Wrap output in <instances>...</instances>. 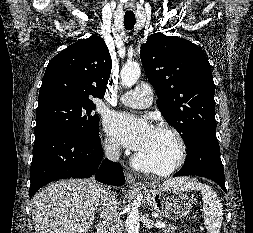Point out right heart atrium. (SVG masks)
Listing matches in <instances>:
<instances>
[{"mask_svg":"<svg viewBox=\"0 0 253 233\" xmlns=\"http://www.w3.org/2000/svg\"><path fill=\"white\" fill-rule=\"evenodd\" d=\"M105 152L110 156H116L119 153L120 147L115 138L108 136L104 141Z\"/></svg>","mask_w":253,"mask_h":233,"instance_id":"d8ad5b80","label":"right heart atrium"}]
</instances>
